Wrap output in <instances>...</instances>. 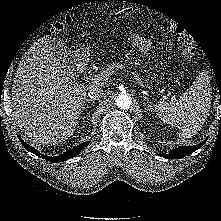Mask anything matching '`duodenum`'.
Wrapping results in <instances>:
<instances>
[{"instance_id":"410a0bca","label":"duodenum","mask_w":221,"mask_h":221,"mask_svg":"<svg viewBox=\"0 0 221 221\" xmlns=\"http://www.w3.org/2000/svg\"><path fill=\"white\" fill-rule=\"evenodd\" d=\"M76 61H77V63L79 64V70H82V69H83V66H82V64H83V58L80 57V56H78V57L76 58Z\"/></svg>"}]
</instances>
